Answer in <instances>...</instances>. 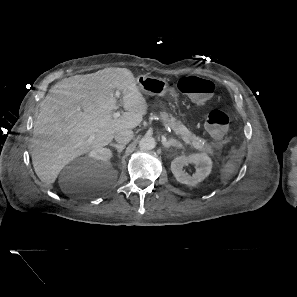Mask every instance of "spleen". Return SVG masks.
I'll return each mask as SVG.
<instances>
[{
    "instance_id": "spleen-1",
    "label": "spleen",
    "mask_w": 297,
    "mask_h": 297,
    "mask_svg": "<svg viewBox=\"0 0 297 297\" xmlns=\"http://www.w3.org/2000/svg\"><path fill=\"white\" fill-rule=\"evenodd\" d=\"M236 166L232 160H228L221 169L220 178L222 181L227 180L231 175L234 174Z\"/></svg>"
}]
</instances>
